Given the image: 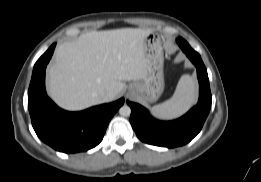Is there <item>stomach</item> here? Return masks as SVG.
I'll list each match as a JSON object with an SVG mask.
<instances>
[{
    "instance_id": "stomach-1",
    "label": "stomach",
    "mask_w": 261,
    "mask_h": 182,
    "mask_svg": "<svg viewBox=\"0 0 261 182\" xmlns=\"http://www.w3.org/2000/svg\"><path fill=\"white\" fill-rule=\"evenodd\" d=\"M144 55L147 64L146 77L130 85V91L143 103L155 102L164 91V55L160 37L152 32L144 42Z\"/></svg>"
}]
</instances>
